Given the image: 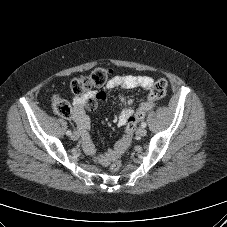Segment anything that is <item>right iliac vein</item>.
Here are the masks:
<instances>
[{
  "label": "right iliac vein",
  "instance_id": "1",
  "mask_svg": "<svg viewBox=\"0 0 227 227\" xmlns=\"http://www.w3.org/2000/svg\"><path fill=\"white\" fill-rule=\"evenodd\" d=\"M79 137H80V134L77 131H75V132H73V134H71V139L74 141L78 140Z\"/></svg>",
  "mask_w": 227,
  "mask_h": 227
}]
</instances>
